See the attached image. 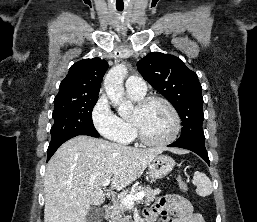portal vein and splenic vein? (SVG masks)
<instances>
[{"label": "portal vein and splenic vein", "mask_w": 257, "mask_h": 222, "mask_svg": "<svg viewBox=\"0 0 257 222\" xmlns=\"http://www.w3.org/2000/svg\"><path fill=\"white\" fill-rule=\"evenodd\" d=\"M110 184V179H106L103 181L102 186L107 187ZM144 197V192H138L135 195H126L123 198H121V202L128 206L132 207L134 205L135 201H140Z\"/></svg>", "instance_id": "1"}]
</instances>
